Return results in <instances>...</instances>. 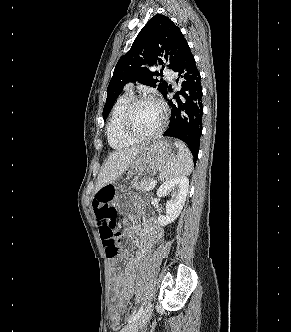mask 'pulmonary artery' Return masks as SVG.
<instances>
[{"label": "pulmonary artery", "mask_w": 291, "mask_h": 332, "mask_svg": "<svg viewBox=\"0 0 291 332\" xmlns=\"http://www.w3.org/2000/svg\"><path fill=\"white\" fill-rule=\"evenodd\" d=\"M166 75H167V77H168L170 80L173 79L174 74H173V72H172L171 70H166ZM127 90L131 91V90H132V86H131V85H128V86H127Z\"/></svg>", "instance_id": "1"}]
</instances>
